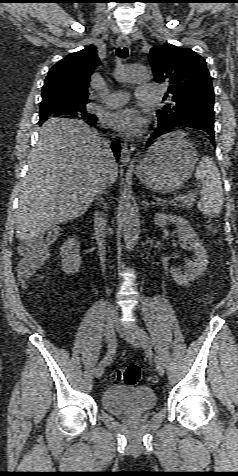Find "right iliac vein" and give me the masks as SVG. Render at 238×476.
I'll return each instance as SVG.
<instances>
[{
    "label": "right iliac vein",
    "mask_w": 238,
    "mask_h": 476,
    "mask_svg": "<svg viewBox=\"0 0 238 476\" xmlns=\"http://www.w3.org/2000/svg\"><path fill=\"white\" fill-rule=\"evenodd\" d=\"M116 320H117V313L116 311L114 310H110L108 312V316H107V320H106V325H105V335L107 337V333H106V329L107 328H110L113 332V335H114V326H115V323H116ZM104 370H105V364L104 363H99L95 370H94V376L95 377H101L102 374L104 373Z\"/></svg>",
    "instance_id": "1"
}]
</instances>
